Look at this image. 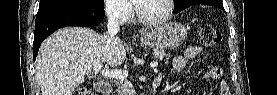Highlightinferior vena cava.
<instances>
[{"mask_svg":"<svg viewBox=\"0 0 277 95\" xmlns=\"http://www.w3.org/2000/svg\"><path fill=\"white\" fill-rule=\"evenodd\" d=\"M108 35L112 40H116V35L119 32V21L115 13H111L108 18Z\"/></svg>","mask_w":277,"mask_h":95,"instance_id":"602c4592","label":"inferior vena cava"}]
</instances>
